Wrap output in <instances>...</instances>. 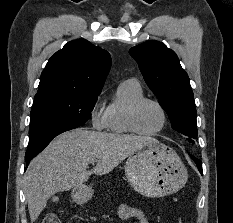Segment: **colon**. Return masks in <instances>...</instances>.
<instances>
[{"label": "colon", "instance_id": "obj_1", "mask_svg": "<svg viewBox=\"0 0 233 223\" xmlns=\"http://www.w3.org/2000/svg\"><path fill=\"white\" fill-rule=\"evenodd\" d=\"M43 223H60V219L58 218V216L55 213L50 212L44 218Z\"/></svg>", "mask_w": 233, "mask_h": 223}]
</instances>
